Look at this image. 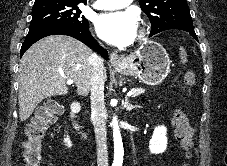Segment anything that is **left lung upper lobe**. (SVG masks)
I'll return each instance as SVG.
<instances>
[{
  "instance_id": "obj_1",
  "label": "left lung upper lobe",
  "mask_w": 227,
  "mask_h": 166,
  "mask_svg": "<svg viewBox=\"0 0 227 166\" xmlns=\"http://www.w3.org/2000/svg\"><path fill=\"white\" fill-rule=\"evenodd\" d=\"M151 22L150 36L170 29L194 28L186 0H139Z\"/></svg>"
}]
</instances>
